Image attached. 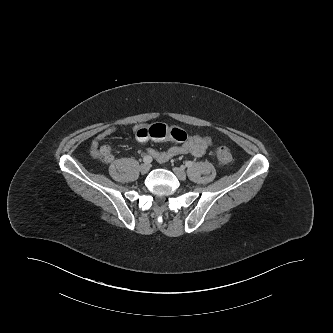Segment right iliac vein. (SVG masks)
<instances>
[{
	"label": "right iliac vein",
	"mask_w": 333,
	"mask_h": 333,
	"mask_svg": "<svg viewBox=\"0 0 333 333\" xmlns=\"http://www.w3.org/2000/svg\"><path fill=\"white\" fill-rule=\"evenodd\" d=\"M139 169L142 174H146L150 170V165L148 163L141 164Z\"/></svg>",
	"instance_id": "obj_1"
}]
</instances>
